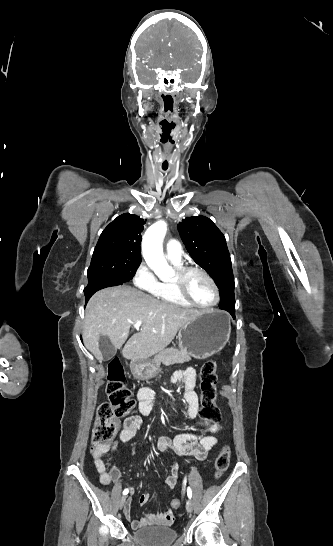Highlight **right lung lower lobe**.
<instances>
[{
    "label": "right lung lower lobe",
    "mask_w": 333,
    "mask_h": 546,
    "mask_svg": "<svg viewBox=\"0 0 333 546\" xmlns=\"http://www.w3.org/2000/svg\"><path fill=\"white\" fill-rule=\"evenodd\" d=\"M117 285H121V283L117 281H113V280H108V279H100V278L92 279L91 281H89L88 286L84 289L86 304L88 300L90 299V297L96 291L106 287L117 286Z\"/></svg>",
    "instance_id": "1"
}]
</instances>
